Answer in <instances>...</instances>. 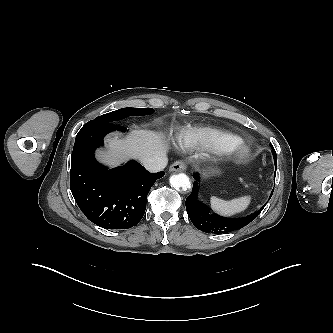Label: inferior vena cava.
<instances>
[{"mask_svg":"<svg viewBox=\"0 0 333 333\" xmlns=\"http://www.w3.org/2000/svg\"><path fill=\"white\" fill-rule=\"evenodd\" d=\"M140 162L150 172H158L166 167L168 159L165 156H153L142 158Z\"/></svg>","mask_w":333,"mask_h":333,"instance_id":"602c4592","label":"inferior vena cava"}]
</instances>
